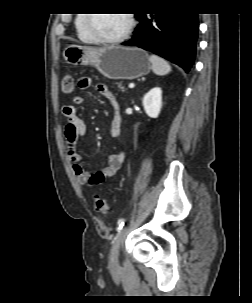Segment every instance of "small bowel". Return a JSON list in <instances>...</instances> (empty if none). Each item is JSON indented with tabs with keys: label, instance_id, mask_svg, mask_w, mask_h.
<instances>
[{
	"label": "small bowel",
	"instance_id": "obj_1",
	"mask_svg": "<svg viewBox=\"0 0 252 303\" xmlns=\"http://www.w3.org/2000/svg\"><path fill=\"white\" fill-rule=\"evenodd\" d=\"M93 81L90 77L80 78L78 85L81 89H88ZM96 89L99 93L104 95L114 108V114L111 124V135L117 137L121 132L122 118L120 113V104L116 95L109 89L106 84L97 83ZM85 99L81 95H75L72 98L73 105H65L63 107V114L66 118L65 124V143L70 159L74 162L80 160V153L78 151V140L86 132V125L84 121L78 116L75 105L84 104ZM125 160V152L119 151L109 155L106 165L95 172H87L84 168L75 163L73 172L79 182L88 186H96L107 179L115 177Z\"/></svg>",
	"mask_w": 252,
	"mask_h": 303
}]
</instances>
